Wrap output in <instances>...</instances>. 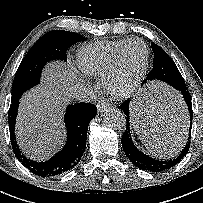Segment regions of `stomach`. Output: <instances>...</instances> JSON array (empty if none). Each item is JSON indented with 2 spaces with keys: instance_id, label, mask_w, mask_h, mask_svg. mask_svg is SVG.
Returning <instances> with one entry per match:
<instances>
[{
  "instance_id": "1",
  "label": "stomach",
  "mask_w": 203,
  "mask_h": 203,
  "mask_svg": "<svg viewBox=\"0 0 203 203\" xmlns=\"http://www.w3.org/2000/svg\"><path fill=\"white\" fill-rule=\"evenodd\" d=\"M141 102V106L144 107L146 106V103L149 102V98L148 95L146 94V96H144L142 99L139 100ZM151 104V103H150ZM152 106V105H151ZM148 110H150V108H148Z\"/></svg>"
}]
</instances>
